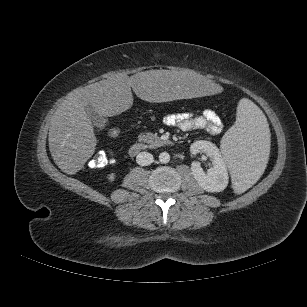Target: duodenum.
<instances>
[{"mask_svg":"<svg viewBox=\"0 0 307 307\" xmlns=\"http://www.w3.org/2000/svg\"><path fill=\"white\" fill-rule=\"evenodd\" d=\"M169 145H172V142L165 138H157L151 142L140 141V142L133 143L129 147L128 153L131 157H134L148 147L157 148V147L169 146Z\"/></svg>","mask_w":307,"mask_h":307,"instance_id":"1","label":"duodenum"}]
</instances>
